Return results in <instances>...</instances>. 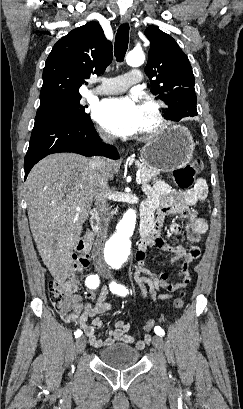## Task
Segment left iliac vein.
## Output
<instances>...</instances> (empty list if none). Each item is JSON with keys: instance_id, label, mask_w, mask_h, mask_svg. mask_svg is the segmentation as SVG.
<instances>
[{"instance_id": "left-iliac-vein-1", "label": "left iliac vein", "mask_w": 243, "mask_h": 409, "mask_svg": "<svg viewBox=\"0 0 243 409\" xmlns=\"http://www.w3.org/2000/svg\"><path fill=\"white\" fill-rule=\"evenodd\" d=\"M152 344L159 353L163 352V350H164V341L160 336H158V335L153 336Z\"/></svg>"}]
</instances>
